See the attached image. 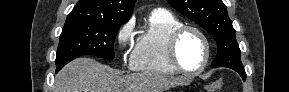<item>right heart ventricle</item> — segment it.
<instances>
[{
    "label": "right heart ventricle",
    "mask_w": 289,
    "mask_h": 92,
    "mask_svg": "<svg viewBox=\"0 0 289 92\" xmlns=\"http://www.w3.org/2000/svg\"><path fill=\"white\" fill-rule=\"evenodd\" d=\"M182 22L172 13L155 10L151 13L147 29L139 37L131 56V67L136 71L161 75H174L167 53L170 34Z\"/></svg>",
    "instance_id": "e07e8e85"
}]
</instances>
